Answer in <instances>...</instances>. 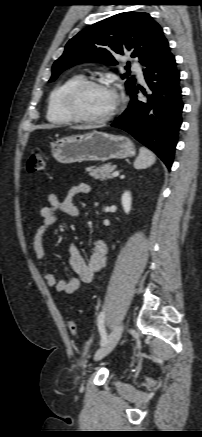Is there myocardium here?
Segmentation results:
<instances>
[{"mask_svg":"<svg viewBox=\"0 0 202 437\" xmlns=\"http://www.w3.org/2000/svg\"><path fill=\"white\" fill-rule=\"evenodd\" d=\"M96 87L111 89L117 96V101L110 113L103 117L95 118L84 115L78 106L80 94L86 89ZM123 100L121 96L110 85L95 79H82L69 88L63 98V108L66 114L76 122L85 124H103L112 120L122 108Z\"/></svg>","mask_w":202,"mask_h":437,"instance_id":"1","label":"myocardium"}]
</instances>
